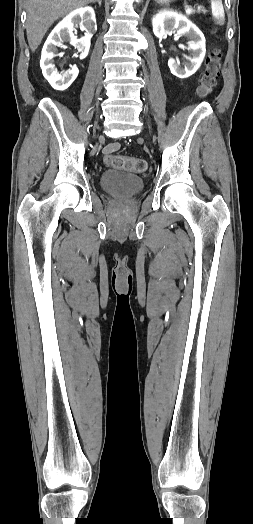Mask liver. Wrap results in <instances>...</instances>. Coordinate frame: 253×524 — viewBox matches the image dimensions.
Instances as JSON below:
<instances>
[{"label":"liver","instance_id":"liver-1","mask_svg":"<svg viewBox=\"0 0 253 524\" xmlns=\"http://www.w3.org/2000/svg\"><path fill=\"white\" fill-rule=\"evenodd\" d=\"M94 0H27L26 31L30 49L34 52L46 31L58 18Z\"/></svg>","mask_w":253,"mask_h":524}]
</instances>
